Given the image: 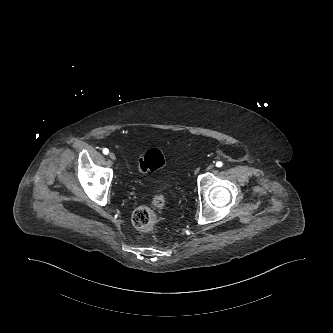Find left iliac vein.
Masks as SVG:
<instances>
[{
    "label": "left iliac vein",
    "instance_id": "obj_1",
    "mask_svg": "<svg viewBox=\"0 0 333 333\" xmlns=\"http://www.w3.org/2000/svg\"><path fill=\"white\" fill-rule=\"evenodd\" d=\"M206 169H207L208 171L212 170V169H213V165H208Z\"/></svg>",
    "mask_w": 333,
    "mask_h": 333
}]
</instances>
